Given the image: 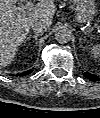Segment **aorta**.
<instances>
[{"mask_svg":"<svg viewBox=\"0 0 100 118\" xmlns=\"http://www.w3.org/2000/svg\"><path fill=\"white\" fill-rule=\"evenodd\" d=\"M72 31L67 26H60L55 31V39L61 44L68 43L71 40Z\"/></svg>","mask_w":100,"mask_h":118,"instance_id":"762f6f07","label":"aorta"}]
</instances>
